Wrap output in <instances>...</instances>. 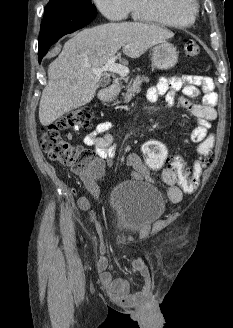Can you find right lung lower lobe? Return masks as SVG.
Returning a JSON list of instances; mask_svg holds the SVG:
<instances>
[{
	"instance_id": "98d812e1",
	"label": "right lung lower lobe",
	"mask_w": 233,
	"mask_h": 328,
	"mask_svg": "<svg viewBox=\"0 0 233 328\" xmlns=\"http://www.w3.org/2000/svg\"><path fill=\"white\" fill-rule=\"evenodd\" d=\"M97 12H45L39 35L38 59L41 62L52 44L62 36L72 33L87 24L96 16Z\"/></svg>"
}]
</instances>
